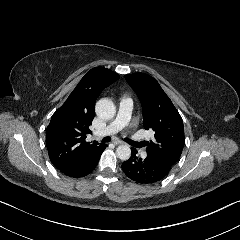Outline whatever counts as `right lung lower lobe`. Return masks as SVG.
Instances as JSON below:
<instances>
[{"label":"right lung lower lobe","mask_w":240,"mask_h":240,"mask_svg":"<svg viewBox=\"0 0 240 240\" xmlns=\"http://www.w3.org/2000/svg\"><path fill=\"white\" fill-rule=\"evenodd\" d=\"M106 145H104L100 150L89 154L83 162L69 167H56L61 173L66 176L73 178H81L90 174L96 167L99 158L104 151Z\"/></svg>","instance_id":"98d812e1"}]
</instances>
